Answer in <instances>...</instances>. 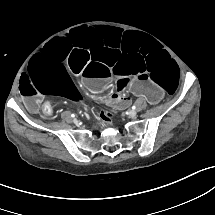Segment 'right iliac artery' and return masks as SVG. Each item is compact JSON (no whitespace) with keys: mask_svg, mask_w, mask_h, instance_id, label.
Returning a JSON list of instances; mask_svg holds the SVG:
<instances>
[{"mask_svg":"<svg viewBox=\"0 0 215 215\" xmlns=\"http://www.w3.org/2000/svg\"><path fill=\"white\" fill-rule=\"evenodd\" d=\"M71 117H75V115H74V114H71Z\"/></svg>","mask_w":215,"mask_h":215,"instance_id":"right-iliac-artery-1","label":"right iliac artery"}]
</instances>
